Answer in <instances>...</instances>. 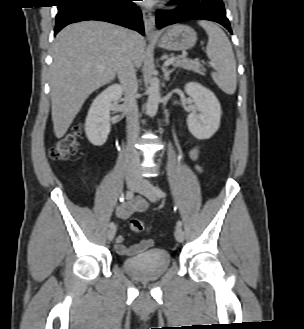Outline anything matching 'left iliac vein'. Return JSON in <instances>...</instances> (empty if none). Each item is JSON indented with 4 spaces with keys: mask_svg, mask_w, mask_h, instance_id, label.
<instances>
[{
    "mask_svg": "<svg viewBox=\"0 0 304 329\" xmlns=\"http://www.w3.org/2000/svg\"><path fill=\"white\" fill-rule=\"evenodd\" d=\"M136 191L144 195L151 202H156L158 196L155 192V187L146 179H140L136 187ZM184 231L181 227L177 226L175 229V238L178 242L184 241Z\"/></svg>",
    "mask_w": 304,
    "mask_h": 329,
    "instance_id": "left-iliac-vein-1",
    "label": "left iliac vein"
}]
</instances>
